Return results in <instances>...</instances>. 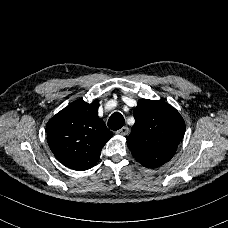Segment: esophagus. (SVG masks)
<instances>
[{
  "label": "esophagus",
  "mask_w": 228,
  "mask_h": 228,
  "mask_svg": "<svg viewBox=\"0 0 228 228\" xmlns=\"http://www.w3.org/2000/svg\"><path fill=\"white\" fill-rule=\"evenodd\" d=\"M128 133H129V129L126 126L122 127L121 129L117 130V132H116V134L123 135V136L127 135Z\"/></svg>",
  "instance_id": "esophagus-1"
}]
</instances>
